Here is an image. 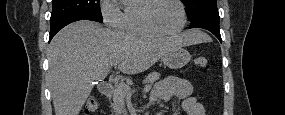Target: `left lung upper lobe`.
Listing matches in <instances>:
<instances>
[{"mask_svg":"<svg viewBox=\"0 0 285 115\" xmlns=\"http://www.w3.org/2000/svg\"><path fill=\"white\" fill-rule=\"evenodd\" d=\"M186 6V14L189 20L197 14L208 9L217 8V0H181Z\"/></svg>","mask_w":285,"mask_h":115,"instance_id":"left-lung-upper-lobe-1","label":"left lung upper lobe"}]
</instances>
